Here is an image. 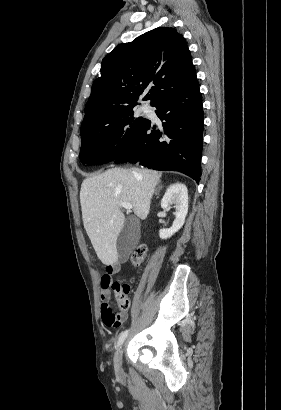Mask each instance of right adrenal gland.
Wrapping results in <instances>:
<instances>
[{"instance_id":"2a0ac1e0","label":"right adrenal gland","mask_w":281,"mask_h":410,"mask_svg":"<svg viewBox=\"0 0 281 410\" xmlns=\"http://www.w3.org/2000/svg\"><path fill=\"white\" fill-rule=\"evenodd\" d=\"M161 189H162V186H159V187L157 188L156 192H155V195H158Z\"/></svg>"}]
</instances>
